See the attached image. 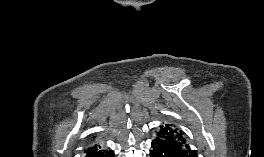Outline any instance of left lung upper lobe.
Instances as JSON below:
<instances>
[{"label": "left lung upper lobe", "instance_id": "left-lung-upper-lobe-1", "mask_svg": "<svg viewBox=\"0 0 264 157\" xmlns=\"http://www.w3.org/2000/svg\"><path fill=\"white\" fill-rule=\"evenodd\" d=\"M157 138L172 143L185 157L197 156L196 151L190 149L187 140L184 137V133L173 124L160 126V130L157 132Z\"/></svg>", "mask_w": 264, "mask_h": 157}]
</instances>
